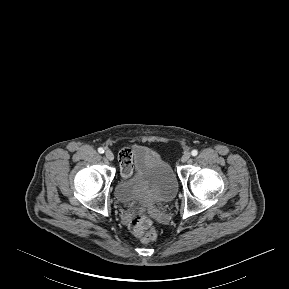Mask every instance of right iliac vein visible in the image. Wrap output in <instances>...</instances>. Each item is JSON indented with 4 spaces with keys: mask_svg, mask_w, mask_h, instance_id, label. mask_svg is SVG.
<instances>
[{
    "mask_svg": "<svg viewBox=\"0 0 289 289\" xmlns=\"http://www.w3.org/2000/svg\"><path fill=\"white\" fill-rule=\"evenodd\" d=\"M105 156L106 158L109 160V161H113L114 160V154L110 151V150H107L105 152Z\"/></svg>",
    "mask_w": 289,
    "mask_h": 289,
    "instance_id": "1",
    "label": "right iliac vein"
}]
</instances>
